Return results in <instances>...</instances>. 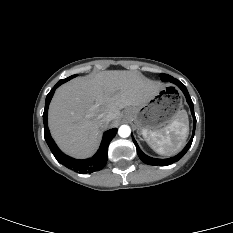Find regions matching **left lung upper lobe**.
<instances>
[{"mask_svg": "<svg viewBox=\"0 0 233 233\" xmlns=\"http://www.w3.org/2000/svg\"><path fill=\"white\" fill-rule=\"evenodd\" d=\"M160 77L162 81H168L172 78V76L167 75V74H160Z\"/></svg>", "mask_w": 233, "mask_h": 233, "instance_id": "left-lung-upper-lobe-1", "label": "left lung upper lobe"}]
</instances>
